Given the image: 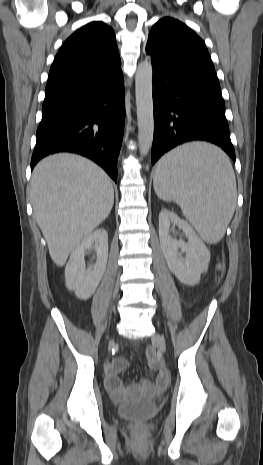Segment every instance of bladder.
I'll return each mask as SVG.
<instances>
[{
  "mask_svg": "<svg viewBox=\"0 0 263 465\" xmlns=\"http://www.w3.org/2000/svg\"><path fill=\"white\" fill-rule=\"evenodd\" d=\"M158 412V405L149 399H136L121 403L116 408L118 417L129 420H148Z\"/></svg>",
  "mask_w": 263,
  "mask_h": 465,
  "instance_id": "1",
  "label": "bladder"
}]
</instances>
